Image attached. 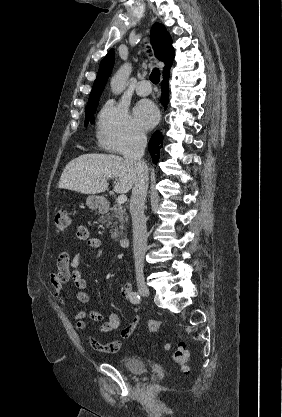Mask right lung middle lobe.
Returning <instances> with one entry per match:
<instances>
[{
	"label": "right lung middle lobe",
	"mask_w": 282,
	"mask_h": 417,
	"mask_svg": "<svg viewBox=\"0 0 282 417\" xmlns=\"http://www.w3.org/2000/svg\"><path fill=\"white\" fill-rule=\"evenodd\" d=\"M100 95L90 96L87 106L85 108L86 112V121L87 122H94V116L93 114L96 112L98 102H99Z\"/></svg>",
	"instance_id": "right-lung-middle-lobe-1"
}]
</instances>
